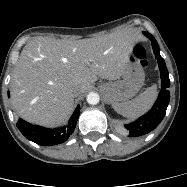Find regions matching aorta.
I'll return each mask as SVG.
<instances>
[{
	"label": "aorta",
	"mask_w": 187,
	"mask_h": 187,
	"mask_svg": "<svg viewBox=\"0 0 187 187\" xmlns=\"http://www.w3.org/2000/svg\"><path fill=\"white\" fill-rule=\"evenodd\" d=\"M88 104L90 105H96L99 103L100 101V96L98 93H95V92H90L88 95H87V98H86Z\"/></svg>",
	"instance_id": "aorta-1"
}]
</instances>
